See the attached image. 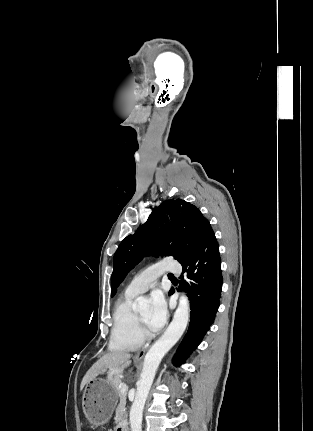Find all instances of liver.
I'll return each instance as SVG.
<instances>
[{"mask_svg": "<svg viewBox=\"0 0 313 431\" xmlns=\"http://www.w3.org/2000/svg\"><path fill=\"white\" fill-rule=\"evenodd\" d=\"M130 358L131 355L126 352H110L105 354L87 371L82 379L80 390L107 369L109 370V377L120 375L125 368L130 366Z\"/></svg>", "mask_w": 313, "mask_h": 431, "instance_id": "1", "label": "liver"}]
</instances>
